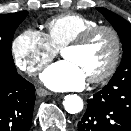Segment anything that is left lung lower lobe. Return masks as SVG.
<instances>
[{"label": "left lung lower lobe", "mask_w": 131, "mask_h": 131, "mask_svg": "<svg viewBox=\"0 0 131 131\" xmlns=\"http://www.w3.org/2000/svg\"><path fill=\"white\" fill-rule=\"evenodd\" d=\"M87 103L78 131H131V81L108 83Z\"/></svg>", "instance_id": "1"}]
</instances>
